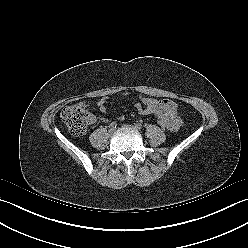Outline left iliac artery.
I'll return each instance as SVG.
<instances>
[{
	"instance_id": "1",
	"label": "left iliac artery",
	"mask_w": 248,
	"mask_h": 248,
	"mask_svg": "<svg viewBox=\"0 0 248 248\" xmlns=\"http://www.w3.org/2000/svg\"><path fill=\"white\" fill-rule=\"evenodd\" d=\"M135 126H136L138 129H141V128H142V124H140V123H136Z\"/></svg>"
}]
</instances>
